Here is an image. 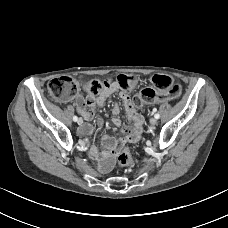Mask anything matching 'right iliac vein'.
Returning <instances> with one entry per match:
<instances>
[{"instance_id":"1","label":"right iliac vein","mask_w":228,"mask_h":228,"mask_svg":"<svg viewBox=\"0 0 228 228\" xmlns=\"http://www.w3.org/2000/svg\"><path fill=\"white\" fill-rule=\"evenodd\" d=\"M77 123H78L79 125H82V124H83V120H82L81 118H79V119L77 120Z\"/></svg>"}]
</instances>
